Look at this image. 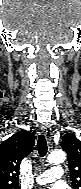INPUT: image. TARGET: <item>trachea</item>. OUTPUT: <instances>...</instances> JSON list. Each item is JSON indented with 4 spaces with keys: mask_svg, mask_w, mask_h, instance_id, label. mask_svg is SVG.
<instances>
[{
    "mask_svg": "<svg viewBox=\"0 0 81 189\" xmlns=\"http://www.w3.org/2000/svg\"><path fill=\"white\" fill-rule=\"evenodd\" d=\"M38 153L41 157H44L47 153L48 147L45 136L40 134L37 141Z\"/></svg>",
    "mask_w": 81,
    "mask_h": 189,
    "instance_id": "obj_1",
    "label": "trachea"
}]
</instances>
